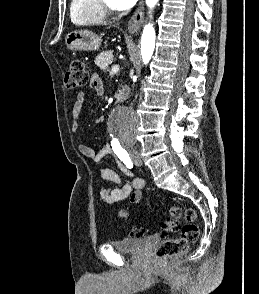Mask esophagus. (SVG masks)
<instances>
[{"label": "esophagus", "instance_id": "esophagus-1", "mask_svg": "<svg viewBox=\"0 0 259 294\" xmlns=\"http://www.w3.org/2000/svg\"><path fill=\"white\" fill-rule=\"evenodd\" d=\"M143 9H144V1L140 0L138 8L136 9V11L134 12V14L132 15L128 26H127V30L131 33V34H135L137 33L140 28H141V24L143 22Z\"/></svg>", "mask_w": 259, "mask_h": 294}]
</instances>
